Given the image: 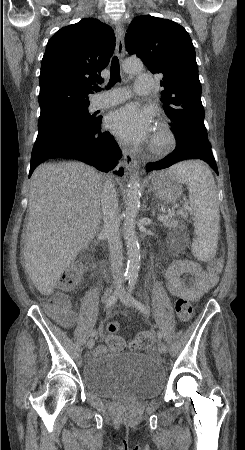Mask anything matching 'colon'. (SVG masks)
<instances>
[{"label":"colon","instance_id":"obj_1","mask_svg":"<svg viewBox=\"0 0 245 450\" xmlns=\"http://www.w3.org/2000/svg\"><path fill=\"white\" fill-rule=\"evenodd\" d=\"M88 266L87 261L78 262L73 270L64 275L59 281V291L54 293L51 297L44 301L45 307L48 309L50 315L63 327H71L74 323V316L70 311V304L66 292L71 291L75 287L76 281L83 275ZM211 271L218 273L222 268V258H214L210 262ZM175 310L178 319L182 322H187L191 317L192 305L186 298H179L175 303ZM118 329L116 322L107 324L109 332L107 336V343L113 350H122L126 347L124 340L115 335ZM153 336L150 332L139 333L133 343V349H145L151 346Z\"/></svg>","mask_w":245,"mask_h":450}]
</instances>
